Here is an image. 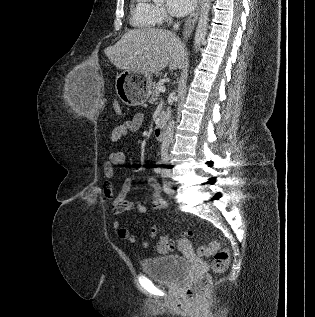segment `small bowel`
I'll return each mask as SVG.
<instances>
[{
	"instance_id": "small-bowel-1",
	"label": "small bowel",
	"mask_w": 315,
	"mask_h": 317,
	"mask_svg": "<svg viewBox=\"0 0 315 317\" xmlns=\"http://www.w3.org/2000/svg\"><path fill=\"white\" fill-rule=\"evenodd\" d=\"M144 121L142 113H136L131 119L125 120L122 123L113 127L110 140L111 142H118L129 132H135L139 130ZM126 162V155L121 150L112 152L107 161L104 163L103 172L105 175V181L103 183V195L110 200L111 211L114 215L113 228L117 237L120 240L129 241L132 244L138 242V239L133 235L123 224L118 216L124 212L136 209L139 213L148 214L150 211H158L166 208L167 203L161 195V186L153 177L147 178L146 192L150 195L151 207L148 208L140 200L136 199L130 201L127 199L128 194L132 190L133 180L131 177H126L124 182L116 194L114 192L113 180L115 177L116 169L121 168ZM158 230L155 226L150 227V236L156 237ZM142 248H147L149 242L146 239L140 241Z\"/></svg>"
}]
</instances>
